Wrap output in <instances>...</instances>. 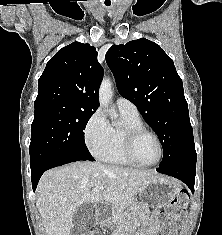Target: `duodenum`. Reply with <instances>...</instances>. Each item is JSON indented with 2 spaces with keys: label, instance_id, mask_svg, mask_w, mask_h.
<instances>
[{
  "label": "duodenum",
  "instance_id": "1",
  "mask_svg": "<svg viewBox=\"0 0 222 235\" xmlns=\"http://www.w3.org/2000/svg\"><path fill=\"white\" fill-rule=\"evenodd\" d=\"M100 211H101V210H100V208L98 207V208H97V215L100 214Z\"/></svg>",
  "mask_w": 222,
  "mask_h": 235
}]
</instances>
